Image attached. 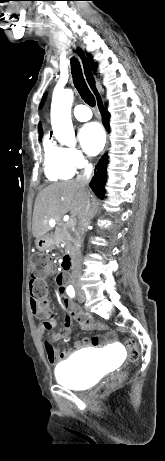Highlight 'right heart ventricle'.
Masks as SVG:
<instances>
[{"label": "right heart ventricle", "instance_id": "right-heart-ventricle-1", "mask_svg": "<svg viewBox=\"0 0 165 461\" xmlns=\"http://www.w3.org/2000/svg\"><path fill=\"white\" fill-rule=\"evenodd\" d=\"M44 147V172L50 181L70 179L74 175V168L68 163L65 148L55 145L50 138H46Z\"/></svg>", "mask_w": 165, "mask_h": 461}]
</instances>
